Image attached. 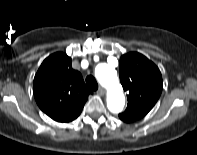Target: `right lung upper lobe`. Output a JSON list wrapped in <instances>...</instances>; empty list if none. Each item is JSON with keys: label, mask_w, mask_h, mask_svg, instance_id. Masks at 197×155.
<instances>
[{"label": "right lung upper lobe", "mask_w": 197, "mask_h": 155, "mask_svg": "<svg viewBox=\"0 0 197 155\" xmlns=\"http://www.w3.org/2000/svg\"><path fill=\"white\" fill-rule=\"evenodd\" d=\"M72 60L57 52L47 57L34 77V97L40 109L57 122L76 119L87 101L89 90L82 75L72 69Z\"/></svg>", "instance_id": "cb5924a9"}]
</instances>
